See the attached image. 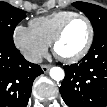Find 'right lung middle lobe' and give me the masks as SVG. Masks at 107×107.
Returning a JSON list of instances; mask_svg holds the SVG:
<instances>
[{
    "label": "right lung middle lobe",
    "mask_w": 107,
    "mask_h": 107,
    "mask_svg": "<svg viewBox=\"0 0 107 107\" xmlns=\"http://www.w3.org/2000/svg\"><path fill=\"white\" fill-rule=\"evenodd\" d=\"M26 17L23 10L6 2H0V45L15 48L13 32L16 25Z\"/></svg>",
    "instance_id": "1"
}]
</instances>
